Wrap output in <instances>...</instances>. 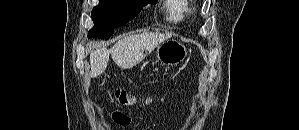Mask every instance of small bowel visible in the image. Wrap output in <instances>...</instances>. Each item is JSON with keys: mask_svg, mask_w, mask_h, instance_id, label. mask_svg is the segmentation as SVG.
<instances>
[{"mask_svg": "<svg viewBox=\"0 0 299 130\" xmlns=\"http://www.w3.org/2000/svg\"><path fill=\"white\" fill-rule=\"evenodd\" d=\"M111 117L114 122L120 125H128L130 123V118L121 112L113 111L111 112Z\"/></svg>", "mask_w": 299, "mask_h": 130, "instance_id": "c3829d8e", "label": "small bowel"}]
</instances>
